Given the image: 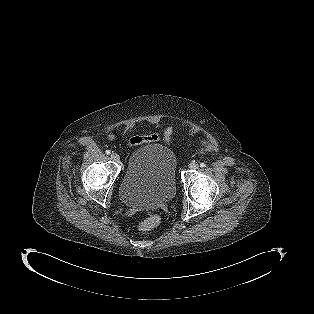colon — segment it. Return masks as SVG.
Instances as JSON below:
<instances>
[{"label": "colon", "instance_id": "5ec220e1", "mask_svg": "<svg viewBox=\"0 0 314 314\" xmlns=\"http://www.w3.org/2000/svg\"><path fill=\"white\" fill-rule=\"evenodd\" d=\"M160 223V218L157 215H152L140 223V230L143 232H149L155 227H157Z\"/></svg>", "mask_w": 314, "mask_h": 314}]
</instances>
